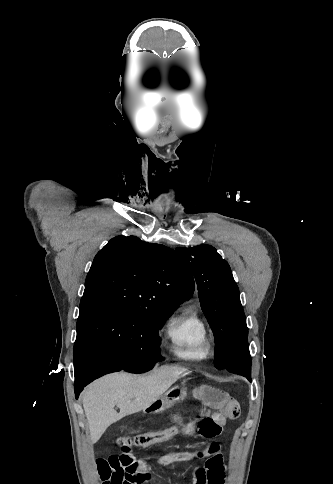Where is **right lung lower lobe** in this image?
Segmentation results:
<instances>
[{
	"label": "right lung lower lobe",
	"mask_w": 333,
	"mask_h": 484,
	"mask_svg": "<svg viewBox=\"0 0 333 484\" xmlns=\"http://www.w3.org/2000/svg\"><path fill=\"white\" fill-rule=\"evenodd\" d=\"M84 355L78 364H74L76 398L82 389L94 379L123 369L109 353L98 347L87 348Z\"/></svg>",
	"instance_id": "98d812e1"
}]
</instances>
